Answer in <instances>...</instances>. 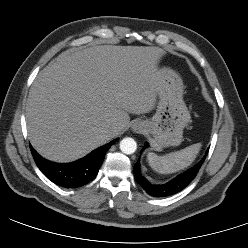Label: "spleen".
Listing matches in <instances>:
<instances>
[{"instance_id":"spleen-1","label":"spleen","mask_w":248,"mask_h":248,"mask_svg":"<svg viewBox=\"0 0 248 248\" xmlns=\"http://www.w3.org/2000/svg\"><path fill=\"white\" fill-rule=\"evenodd\" d=\"M201 148V143L188 146L180 151L158 156L153 152L147 155L148 163L153 170L160 174H171L190 166Z\"/></svg>"}]
</instances>
